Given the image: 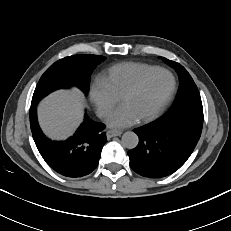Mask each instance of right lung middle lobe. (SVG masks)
<instances>
[{"label": "right lung middle lobe", "instance_id": "dd1d6c3e", "mask_svg": "<svg viewBox=\"0 0 231 231\" xmlns=\"http://www.w3.org/2000/svg\"><path fill=\"white\" fill-rule=\"evenodd\" d=\"M104 59V56L85 54L65 57L55 62L41 76L31 106H36L40 99L61 88L77 86L86 94L92 70Z\"/></svg>", "mask_w": 231, "mask_h": 231}]
</instances>
